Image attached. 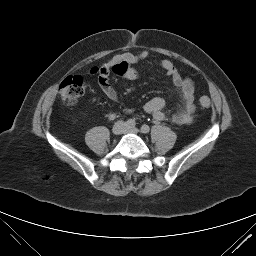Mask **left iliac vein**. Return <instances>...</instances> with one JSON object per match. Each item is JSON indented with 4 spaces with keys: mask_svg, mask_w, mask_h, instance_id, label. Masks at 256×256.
<instances>
[{
    "mask_svg": "<svg viewBox=\"0 0 256 256\" xmlns=\"http://www.w3.org/2000/svg\"><path fill=\"white\" fill-rule=\"evenodd\" d=\"M139 130L135 127H126L124 130V133H132V134H137Z\"/></svg>",
    "mask_w": 256,
    "mask_h": 256,
    "instance_id": "left-iliac-vein-1",
    "label": "left iliac vein"
}]
</instances>
